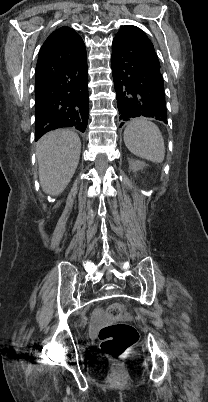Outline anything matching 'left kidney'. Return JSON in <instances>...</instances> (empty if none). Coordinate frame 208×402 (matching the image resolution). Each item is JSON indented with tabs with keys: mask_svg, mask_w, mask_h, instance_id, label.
I'll return each instance as SVG.
<instances>
[{
	"mask_svg": "<svg viewBox=\"0 0 208 402\" xmlns=\"http://www.w3.org/2000/svg\"><path fill=\"white\" fill-rule=\"evenodd\" d=\"M129 166L132 172H138V170H143V168L148 166V164H145V162H140V160H129Z\"/></svg>",
	"mask_w": 208,
	"mask_h": 402,
	"instance_id": "1",
	"label": "left kidney"
}]
</instances>
